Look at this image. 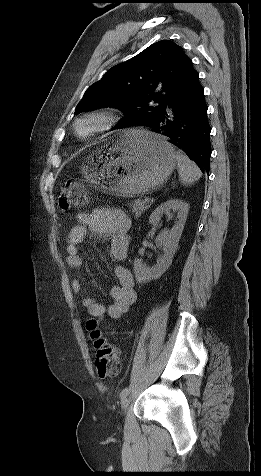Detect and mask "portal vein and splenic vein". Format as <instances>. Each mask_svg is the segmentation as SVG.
<instances>
[{
  "mask_svg": "<svg viewBox=\"0 0 261 476\" xmlns=\"http://www.w3.org/2000/svg\"><path fill=\"white\" fill-rule=\"evenodd\" d=\"M151 201V198L149 196L145 197L144 203H149Z\"/></svg>",
  "mask_w": 261,
  "mask_h": 476,
  "instance_id": "18ae733b",
  "label": "portal vein and splenic vein"
}]
</instances>
